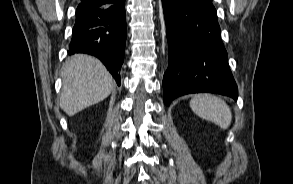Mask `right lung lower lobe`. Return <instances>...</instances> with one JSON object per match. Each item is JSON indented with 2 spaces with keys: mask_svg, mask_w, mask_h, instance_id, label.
Masks as SVG:
<instances>
[{
  "mask_svg": "<svg viewBox=\"0 0 293 184\" xmlns=\"http://www.w3.org/2000/svg\"><path fill=\"white\" fill-rule=\"evenodd\" d=\"M99 7L79 4L68 53H87L99 58L120 85L126 43L125 0Z\"/></svg>",
  "mask_w": 293,
  "mask_h": 184,
  "instance_id": "98d812e1",
  "label": "right lung lower lobe"
}]
</instances>
